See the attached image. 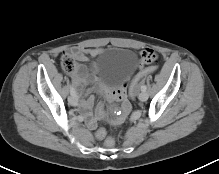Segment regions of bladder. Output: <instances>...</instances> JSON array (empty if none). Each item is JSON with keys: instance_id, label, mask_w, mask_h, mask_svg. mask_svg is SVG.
<instances>
[{"instance_id": "obj_1", "label": "bladder", "mask_w": 219, "mask_h": 174, "mask_svg": "<svg viewBox=\"0 0 219 174\" xmlns=\"http://www.w3.org/2000/svg\"><path fill=\"white\" fill-rule=\"evenodd\" d=\"M99 56L93 65V72L98 82L106 88L123 84L138 62L137 54L125 48L103 51Z\"/></svg>"}]
</instances>
